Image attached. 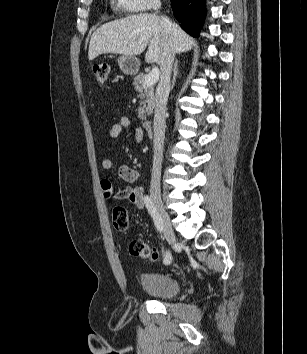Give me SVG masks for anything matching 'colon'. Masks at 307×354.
Masks as SVG:
<instances>
[{
  "mask_svg": "<svg viewBox=\"0 0 307 354\" xmlns=\"http://www.w3.org/2000/svg\"><path fill=\"white\" fill-rule=\"evenodd\" d=\"M109 65L106 63H97L93 65V74L99 85H104L109 76ZM114 227L119 231H125L129 224V214L125 207H115L112 213ZM131 254L142 259L155 262L158 260V251L141 240H134L130 243Z\"/></svg>",
  "mask_w": 307,
  "mask_h": 354,
  "instance_id": "1",
  "label": "colon"
}]
</instances>
